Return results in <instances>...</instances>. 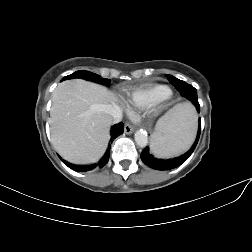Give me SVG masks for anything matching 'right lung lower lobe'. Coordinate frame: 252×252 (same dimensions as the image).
Instances as JSON below:
<instances>
[{"instance_id":"obj_1","label":"right lung lower lobe","mask_w":252,"mask_h":252,"mask_svg":"<svg viewBox=\"0 0 252 252\" xmlns=\"http://www.w3.org/2000/svg\"><path fill=\"white\" fill-rule=\"evenodd\" d=\"M124 132V125L123 123H118L115 124L112 128H111V142L117 138V136L121 135ZM109 155H110V144L108 146V149L105 153V155L102 157V159L96 163V164H92V165H87V166H78V165H73L70 164L68 162H65V165L68 166L69 168H71L72 170L78 171V172H87L90 171L92 169H94L95 167H100L102 168L104 165L107 164L108 160H109ZM61 159V158H60Z\"/></svg>"}]
</instances>
